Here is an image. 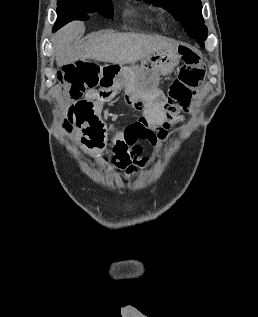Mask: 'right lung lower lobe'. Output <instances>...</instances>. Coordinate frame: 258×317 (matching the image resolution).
Listing matches in <instances>:
<instances>
[{"mask_svg": "<svg viewBox=\"0 0 258 317\" xmlns=\"http://www.w3.org/2000/svg\"><path fill=\"white\" fill-rule=\"evenodd\" d=\"M100 14L99 12H96ZM58 18L54 25L53 31L58 30L66 23L72 20H87L89 19L88 12H85L83 9L75 6H60L57 8Z\"/></svg>", "mask_w": 258, "mask_h": 317, "instance_id": "98d812e1", "label": "right lung lower lobe"}]
</instances>
